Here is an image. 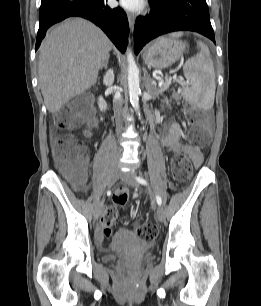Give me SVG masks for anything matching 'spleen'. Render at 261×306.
Returning a JSON list of instances; mask_svg holds the SVG:
<instances>
[{
	"instance_id": "1",
	"label": "spleen",
	"mask_w": 261,
	"mask_h": 306,
	"mask_svg": "<svg viewBox=\"0 0 261 306\" xmlns=\"http://www.w3.org/2000/svg\"><path fill=\"white\" fill-rule=\"evenodd\" d=\"M184 33L174 32L171 37H181ZM200 49L194 57L188 59L184 66V76L189 86L182 88V95L191 104L201 109H211L215 98V72L208 47L201 41L197 42Z\"/></svg>"
}]
</instances>
